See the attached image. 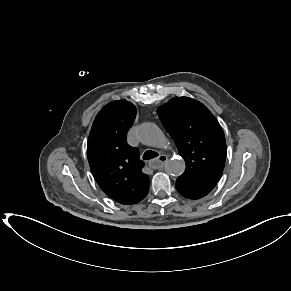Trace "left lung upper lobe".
Returning <instances> with one entry per match:
<instances>
[{
  "instance_id": "left-lung-upper-lobe-1",
  "label": "left lung upper lobe",
  "mask_w": 291,
  "mask_h": 291,
  "mask_svg": "<svg viewBox=\"0 0 291 291\" xmlns=\"http://www.w3.org/2000/svg\"><path fill=\"white\" fill-rule=\"evenodd\" d=\"M157 113L186 162L176 181L177 191L189 199L206 196L225 165L226 141L219 122L205 105L189 97H175Z\"/></svg>"
}]
</instances>
